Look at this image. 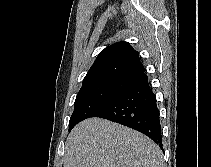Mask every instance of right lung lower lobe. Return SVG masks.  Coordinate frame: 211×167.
I'll use <instances>...</instances> for the list:
<instances>
[{
  "label": "right lung lower lobe",
  "mask_w": 211,
  "mask_h": 167,
  "mask_svg": "<svg viewBox=\"0 0 211 167\" xmlns=\"http://www.w3.org/2000/svg\"><path fill=\"white\" fill-rule=\"evenodd\" d=\"M131 86L93 117H100L133 128L162 148V131L157 107L145 71L131 79Z\"/></svg>",
  "instance_id": "1"
}]
</instances>
